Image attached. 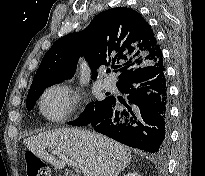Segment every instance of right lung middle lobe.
Wrapping results in <instances>:
<instances>
[{
	"label": "right lung middle lobe",
	"instance_id": "dd1d6c3e",
	"mask_svg": "<svg viewBox=\"0 0 205 176\" xmlns=\"http://www.w3.org/2000/svg\"><path fill=\"white\" fill-rule=\"evenodd\" d=\"M51 84L39 87L35 90H32L28 93L27 100H26V107L28 110L33 109L36 100L39 98V96L42 94L44 89ZM107 100V98L103 101H96L93 102L92 104L88 105L87 108L85 109L84 114L76 121L71 122V125H77V126H84L89 123L91 118L93 117L94 113L98 110L99 107H101L104 102Z\"/></svg>",
	"mask_w": 205,
	"mask_h": 176
}]
</instances>
